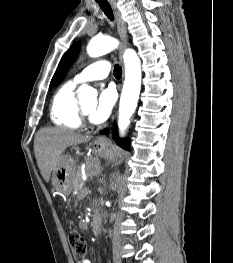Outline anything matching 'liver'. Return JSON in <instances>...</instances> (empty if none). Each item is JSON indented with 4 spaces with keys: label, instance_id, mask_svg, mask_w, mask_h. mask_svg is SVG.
<instances>
[{
    "label": "liver",
    "instance_id": "obj_1",
    "mask_svg": "<svg viewBox=\"0 0 233 263\" xmlns=\"http://www.w3.org/2000/svg\"><path fill=\"white\" fill-rule=\"evenodd\" d=\"M89 136H84L64 128H43L34 140V152L41 175L49 182L51 172L60 161L62 153L68 146L86 143Z\"/></svg>",
    "mask_w": 233,
    "mask_h": 263
}]
</instances>
